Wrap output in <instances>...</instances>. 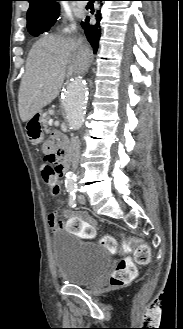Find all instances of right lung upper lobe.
Instances as JSON below:
<instances>
[{"mask_svg":"<svg viewBox=\"0 0 183 329\" xmlns=\"http://www.w3.org/2000/svg\"><path fill=\"white\" fill-rule=\"evenodd\" d=\"M30 3L27 12V28L41 23L49 22L57 19L59 12V4L56 1L60 0H27Z\"/></svg>","mask_w":183,"mask_h":329,"instance_id":"cb5924a9","label":"right lung upper lobe"}]
</instances>
